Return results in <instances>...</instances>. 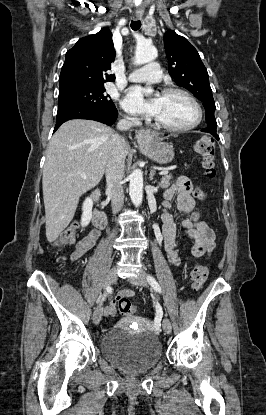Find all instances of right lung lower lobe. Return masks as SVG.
Returning <instances> with one entry per match:
<instances>
[{"label":"right lung lower lobe","mask_w":266,"mask_h":415,"mask_svg":"<svg viewBox=\"0 0 266 415\" xmlns=\"http://www.w3.org/2000/svg\"><path fill=\"white\" fill-rule=\"evenodd\" d=\"M118 116L116 108L111 110H101L86 107H64L58 108L57 120L54 131H56L61 124L71 119H89L99 121L101 123L112 125Z\"/></svg>","instance_id":"98d812e1"}]
</instances>
